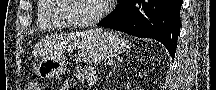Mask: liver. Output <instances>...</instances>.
<instances>
[{
  "label": "liver",
  "instance_id": "1",
  "mask_svg": "<svg viewBox=\"0 0 216 90\" xmlns=\"http://www.w3.org/2000/svg\"><path fill=\"white\" fill-rule=\"evenodd\" d=\"M101 32V28H99V30H89V32H80V34H76V36H69L68 42L71 46H77V42L80 46H83V44H87V40H92L93 36L101 34Z\"/></svg>",
  "mask_w": 216,
  "mask_h": 90
}]
</instances>
